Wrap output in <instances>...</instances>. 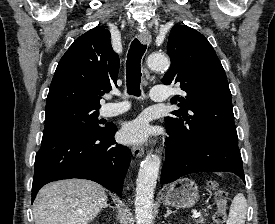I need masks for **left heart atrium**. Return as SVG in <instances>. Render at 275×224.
Wrapping results in <instances>:
<instances>
[{
  "label": "left heart atrium",
  "mask_w": 275,
  "mask_h": 224,
  "mask_svg": "<svg viewBox=\"0 0 275 224\" xmlns=\"http://www.w3.org/2000/svg\"><path fill=\"white\" fill-rule=\"evenodd\" d=\"M149 136V126L142 119H136L124 125L121 131V138L127 143H140L147 140Z\"/></svg>",
  "instance_id": "39dd6f15"
}]
</instances>
